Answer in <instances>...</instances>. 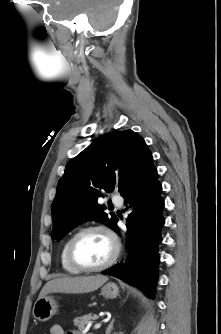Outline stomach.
Instances as JSON below:
<instances>
[{"label":"stomach","instance_id":"1","mask_svg":"<svg viewBox=\"0 0 221 334\" xmlns=\"http://www.w3.org/2000/svg\"><path fill=\"white\" fill-rule=\"evenodd\" d=\"M101 294L106 299H114L119 294V288L115 283L109 282L102 287ZM57 307L52 296L38 298L33 307V316L38 321H48L56 313Z\"/></svg>","mask_w":221,"mask_h":334}]
</instances>
